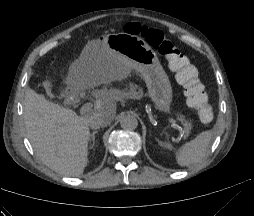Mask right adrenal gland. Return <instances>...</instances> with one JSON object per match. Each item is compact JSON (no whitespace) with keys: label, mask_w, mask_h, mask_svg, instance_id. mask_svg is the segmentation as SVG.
<instances>
[{"label":"right adrenal gland","mask_w":254,"mask_h":216,"mask_svg":"<svg viewBox=\"0 0 254 216\" xmlns=\"http://www.w3.org/2000/svg\"><path fill=\"white\" fill-rule=\"evenodd\" d=\"M98 133V131H93L90 140H92V146L95 144V135Z\"/></svg>","instance_id":"right-adrenal-gland-1"}]
</instances>
